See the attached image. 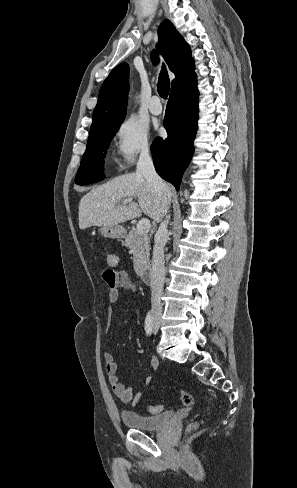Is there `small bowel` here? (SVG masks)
Listing matches in <instances>:
<instances>
[{
	"mask_svg": "<svg viewBox=\"0 0 297 488\" xmlns=\"http://www.w3.org/2000/svg\"><path fill=\"white\" fill-rule=\"evenodd\" d=\"M105 263L107 266L113 267L116 266L118 263V257L114 253H107L105 255ZM135 290V285L131 281L129 275L126 272H116L114 274V283L112 286H109L108 291V303L114 304L120 295V290ZM103 360L105 364V369L108 377V381L111 385V388L114 394L125 404L135 406L141 399L142 392L139 391L136 394L133 393V389L130 385H126L120 381L118 377V366L114 360L112 353L105 352L103 355ZM150 367L152 370H156L158 368V359L156 357L150 358ZM152 377L147 376L144 379V386H147L151 383Z\"/></svg>",
	"mask_w": 297,
	"mask_h": 488,
	"instance_id": "1",
	"label": "small bowel"
}]
</instances>
